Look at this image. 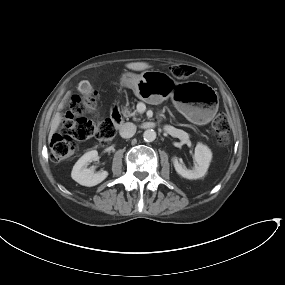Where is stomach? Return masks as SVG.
Returning a JSON list of instances; mask_svg holds the SVG:
<instances>
[{
  "label": "stomach",
  "instance_id": "obj_1",
  "mask_svg": "<svg viewBox=\"0 0 285 285\" xmlns=\"http://www.w3.org/2000/svg\"><path fill=\"white\" fill-rule=\"evenodd\" d=\"M121 84L132 89L139 99L147 103H152L154 96L162 94L161 90L166 86L167 97L171 98L176 109L198 125L210 122L218 110L216 92L203 82L177 83L164 72L147 70L139 75L124 73ZM159 96L164 99L163 95Z\"/></svg>",
  "mask_w": 285,
  "mask_h": 285
}]
</instances>
